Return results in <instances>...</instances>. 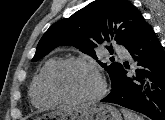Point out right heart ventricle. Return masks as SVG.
Wrapping results in <instances>:
<instances>
[{
  "mask_svg": "<svg viewBox=\"0 0 165 120\" xmlns=\"http://www.w3.org/2000/svg\"><path fill=\"white\" fill-rule=\"evenodd\" d=\"M57 61L58 59L55 57L49 58L32 82L30 96L32 103L36 107L50 108L58 103L48 94L45 87L46 76Z\"/></svg>",
  "mask_w": 165,
  "mask_h": 120,
  "instance_id": "e07e8e85",
  "label": "right heart ventricle"
}]
</instances>
